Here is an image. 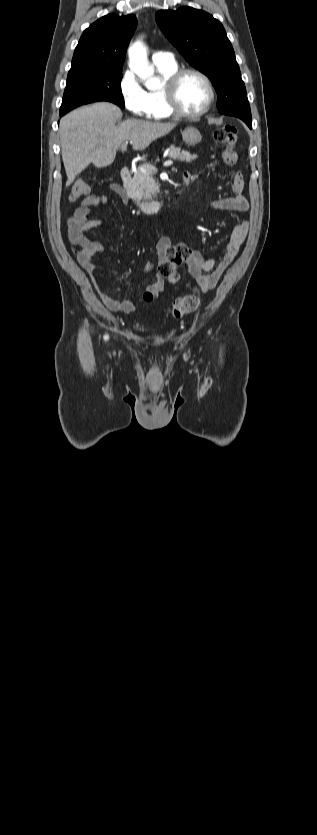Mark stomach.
I'll return each instance as SVG.
<instances>
[{"mask_svg":"<svg viewBox=\"0 0 317 835\" xmlns=\"http://www.w3.org/2000/svg\"><path fill=\"white\" fill-rule=\"evenodd\" d=\"M182 138L186 144L195 146L201 141L202 136L197 128L189 126L182 131Z\"/></svg>","mask_w":317,"mask_h":835,"instance_id":"1","label":"stomach"}]
</instances>
